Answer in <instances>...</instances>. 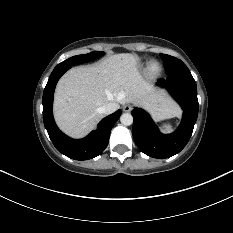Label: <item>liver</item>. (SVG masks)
<instances>
[{"instance_id": "1", "label": "liver", "mask_w": 233, "mask_h": 233, "mask_svg": "<svg viewBox=\"0 0 233 233\" xmlns=\"http://www.w3.org/2000/svg\"><path fill=\"white\" fill-rule=\"evenodd\" d=\"M108 103L140 105L149 109L156 119L178 114L177 106L143 79L137 58L121 53L64 74L56 87L54 117L63 132L82 138L103 118L98 109Z\"/></svg>"}]
</instances>
